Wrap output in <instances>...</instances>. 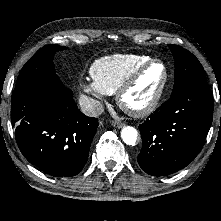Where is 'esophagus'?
Segmentation results:
<instances>
[{
	"mask_svg": "<svg viewBox=\"0 0 221 221\" xmlns=\"http://www.w3.org/2000/svg\"><path fill=\"white\" fill-rule=\"evenodd\" d=\"M112 125L116 128H121V127H123L124 124L121 121L114 120V121H112Z\"/></svg>",
	"mask_w": 221,
	"mask_h": 221,
	"instance_id": "obj_1",
	"label": "esophagus"
}]
</instances>
